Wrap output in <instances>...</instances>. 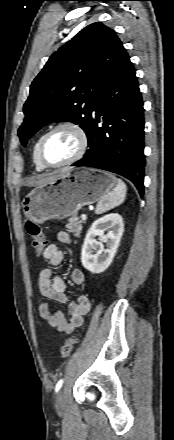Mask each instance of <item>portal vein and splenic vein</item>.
<instances>
[{
  "mask_svg": "<svg viewBox=\"0 0 174 440\" xmlns=\"http://www.w3.org/2000/svg\"><path fill=\"white\" fill-rule=\"evenodd\" d=\"M81 219H82L83 221H85V220L87 219V216H86L85 214H82V215H81Z\"/></svg>",
  "mask_w": 174,
  "mask_h": 440,
  "instance_id": "1",
  "label": "portal vein and splenic vein"
}]
</instances>
